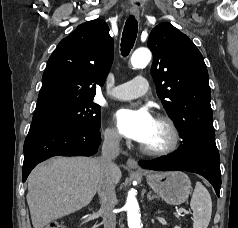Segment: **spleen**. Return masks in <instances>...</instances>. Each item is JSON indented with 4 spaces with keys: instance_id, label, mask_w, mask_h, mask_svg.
Returning <instances> with one entry per match:
<instances>
[{
    "instance_id": "obj_1",
    "label": "spleen",
    "mask_w": 238,
    "mask_h": 228,
    "mask_svg": "<svg viewBox=\"0 0 238 228\" xmlns=\"http://www.w3.org/2000/svg\"><path fill=\"white\" fill-rule=\"evenodd\" d=\"M190 206L194 217L193 228H207L212 214V200L200 182H196Z\"/></svg>"
}]
</instances>
